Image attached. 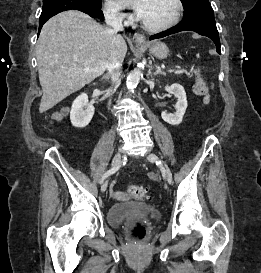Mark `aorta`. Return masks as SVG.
Returning a JSON list of instances; mask_svg holds the SVG:
<instances>
[{"label":"aorta","mask_w":261,"mask_h":273,"mask_svg":"<svg viewBox=\"0 0 261 273\" xmlns=\"http://www.w3.org/2000/svg\"><path fill=\"white\" fill-rule=\"evenodd\" d=\"M142 76V70L141 67L138 66L136 68H134L128 75L127 77V87L129 88H134L137 86V84L140 81V78Z\"/></svg>","instance_id":"1"}]
</instances>
